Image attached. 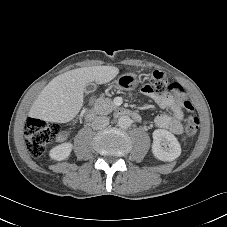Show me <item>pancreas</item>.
<instances>
[{"label": "pancreas", "mask_w": 227, "mask_h": 227, "mask_svg": "<svg viewBox=\"0 0 227 227\" xmlns=\"http://www.w3.org/2000/svg\"><path fill=\"white\" fill-rule=\"evenodd\" d=\"M115 108L116 106L114 105L111 99L103 97L97 99L94 105V110L101 115L109 114Z\"/></svg>", "instance_id": "pancreas-1"}]
</instances>
